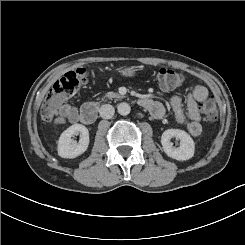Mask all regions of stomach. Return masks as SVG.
Listing matches in <instances>:
<instances>
[{"mask_svg": "<svg viewBox=\"0 0 245 245\" xmlns=\"http://www.w3.org/2000/svg\"><path fill=\"white\" fill-rule=\"evenodd\" d=\"M137 71V67L136 66H130V67H126V68H120L119 72L126 77H132L135 75V72Z\"/></svg>", "mask_w": 245, "mask_h": 245, "instance_id": "1", "label": "stomach"}]
</instances>
